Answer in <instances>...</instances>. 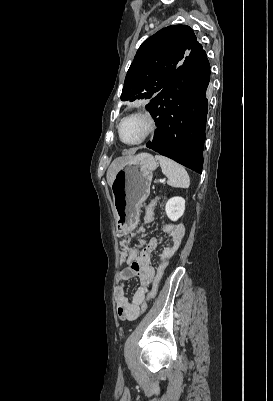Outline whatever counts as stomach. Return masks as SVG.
<instances>
[{"instance_id": "obj_1", "label": "stomach", "mask_w": 273, "mask_h": 401, "mask_svg": "<svg viewBox=\"0 0 273 401\" xmlns=\"http://www.w3.org/2000/svg\"><path fill=\"white\" fill-rule=\"evenodd\" d=\"M157 166L152 154L140 152L138 158L128 160L117 170L111 186L117 233H131L136 229Z\"/></svg>"}]
</instances>
